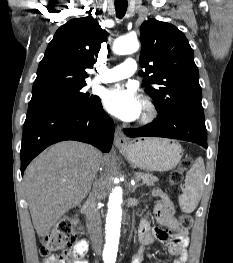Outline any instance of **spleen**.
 I'll return each mask as SVG.
<instances>
[{
    "label": "spleen",
    "mask_w": 233,
    "mask_h": 263,
    "mask_svg": "<svg viewBox=\"0 0 233 263\" xmlns=\"http://www.w3.org/2000/svg\"><path fill=\"white\" fill-rule=\"evenodd\" d=\"M205 166L201 157H198L185 179V189L179 197V204L183 212L191 213L197 207L201 199V191L204 185Z\"/></svg>",
    "instance_id": "3e777b00"
}]
</instances>
